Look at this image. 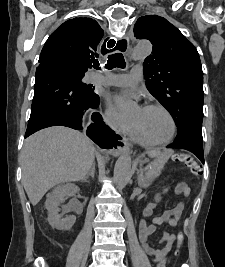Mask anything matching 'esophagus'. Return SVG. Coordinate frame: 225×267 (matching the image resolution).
<instances>
[{"instance_id": "34e87169", "label": "esophagus", "mask_w": 225, "mask_h": 267, "mask_svg": "<svg viewBox=\"0 0 225 267\" xmlns=\"http://www.w3.org/2000/svg\"><path fill=\"white\" fill-rule=\"evenodd\" d=\"M114 48H116L117 51H120L122 53H127L130 48L129 38L125 36L119 40H116ZM127 151H129L128 141L125 138H122L120 144L114 150V154L119 155Z\"/></svg>"}]
</instances>
